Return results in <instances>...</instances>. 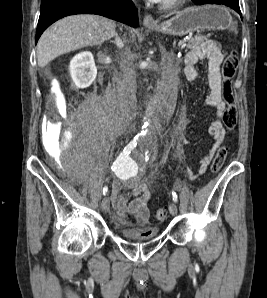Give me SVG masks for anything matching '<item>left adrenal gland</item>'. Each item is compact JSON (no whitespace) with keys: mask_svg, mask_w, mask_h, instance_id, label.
I'll return each mask as SVG.
<instances>
[{"mask_svg":"<svg viewBox=\"0 0 267 298\" xmlns=\"http://www.w3.org/2000/svg\"><path fill=\"white\" fill-rule=\"evenodd\" d=\"M161 50H162V54H163V55H169V53L166 52V50H165L164 47H162Z\"/></svg>","mask_w":267,"mask_h":298,"instance_id":"left-adrenal-gland-1","label":"left adrenal gland"}]
</instances>
